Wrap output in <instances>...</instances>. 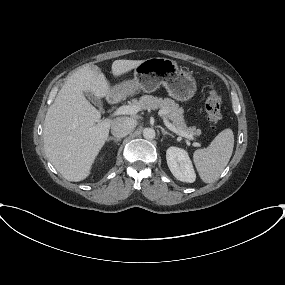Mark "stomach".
Returning <instances> with one entry per match:
<instances>
[{"label":"stomach","mask_w":285,"mask_h":285,"mask_svg":"<svg viewBox=\"0 0 285 285\" xmlns=\"http://www.w3.org/2000/svg\"><path fill=\"white\" fill-rule=\"evenodd\" d=\"M161 85L169 96L181 102L188 101L196 92L192 75L180 69L175 61L163 57L143 60L134 68V79L118 84L116 90L129 94L138 90L151 93Z\"/></svg>","instance_id":"obj_1"}]
</instances>
